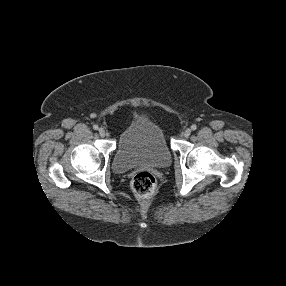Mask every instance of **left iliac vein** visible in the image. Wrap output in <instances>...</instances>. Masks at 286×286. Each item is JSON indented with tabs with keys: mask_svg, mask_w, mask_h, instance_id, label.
<instances>
[{
	"mask_svg": "<svg viewBox=\"0 0 286 286\" xmlns=\"http://www.w3.org/2000/svg\"><path fill=\"white\" fill-rule=\"evenodd\" d=\"M190 134H191V130L189 128H187L183 131V136L186 138H188L190 136Z\"/></svg>",
	"mask_w": 286,
	"mask_h": 286,
	"instance_id": "4c4485c4",
	"label": "left iliac vein"
}]
</instances>
